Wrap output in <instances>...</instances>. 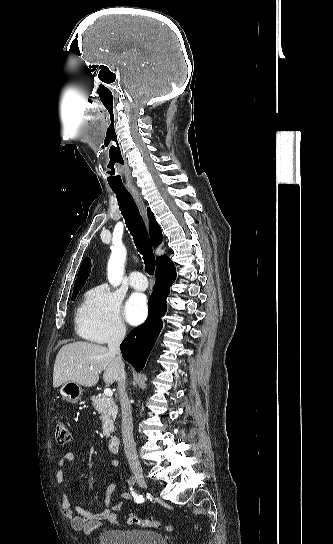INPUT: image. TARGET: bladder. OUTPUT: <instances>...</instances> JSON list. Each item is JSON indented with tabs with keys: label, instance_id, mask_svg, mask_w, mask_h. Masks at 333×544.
<instances>
[{
	"label": "bladder",
	"instance_id": "obj_1",
	"mask_svg": "<svg viewBox=\"0 0 333 544\" xmlns=\"http://www.w3.org/2000/svg\"><path fill=\"white\" fill-rule=\"evenodd\" d=\"M98 544H168L166 538L155 531L132 528L104 530L98 536Z\"/></svg>",
	"mask_w": 333,
	"mask_h": 544
}]
</instances>
